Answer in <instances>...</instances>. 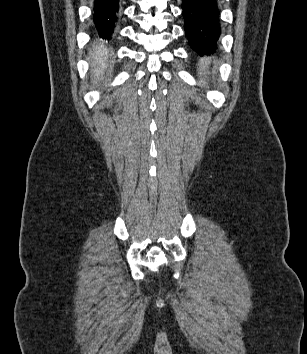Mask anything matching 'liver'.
I'll return each instance as SVG.
<instances>
[{
    "instance_id": "liver-1",
    "label": "liver",
    "mask_w": 307,
    "mask_h": 354,
    "mask_svg": "<svg viewBox=\"0 0 307 354\" xmlns=\"http://www.w3.org/2000/svg\"><path fill=\"white\" fill-rule=\"evenodd\" d=\"M90 58L92 60L94 83H97L103 79V75L107 68L108 49L104 44L96 45L90 53Z\"/></svg>"
}]
</instances>
